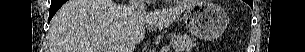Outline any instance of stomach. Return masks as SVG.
I'll use <instances>...</instances> for the list:
<instances>
[{
  "instance_id": "stomach-1",
  "label": "stomach",
  "mask_w": 305,
  "mask_h": 52,
  "mask_svg": "<svg viewBox=\"0 0 305 52\" xmlns=\"http://www.w3.org/2000/svg\"><path fill=\"white\" fill-rule=\"evenodd\" d=\"M186 28L201 39H215L225 30L228 17L218 5L208 0H196L183 13Z\"/></svg>"
}]
</instances>
